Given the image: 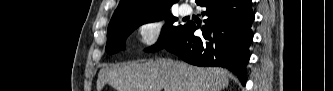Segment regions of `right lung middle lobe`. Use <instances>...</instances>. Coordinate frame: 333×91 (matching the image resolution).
<instances>
[{
  "label": "right lung middle lobe",
  "instance_id": "1",
  "mask_svg": "<svg viewBox=\"0 0 333 91\" xmlns=\"http://www.w3.org/2000/svg\"><path fill=\"white\" fill-rule=\"evenodd\" d=\"M162 18L166 19V24L163 26L161 36L158 42L147 49V51H157L163 49L182 31L185 26L177 25L176 22L178 18L172 16L169 11L109 23L106 52L108 54L119 52L124 47V42L127 36L138 26L149 22L159 21Z\"/></svg>",
  "mask_w": 333,
  "mask_h": 91
}]
</instances>
